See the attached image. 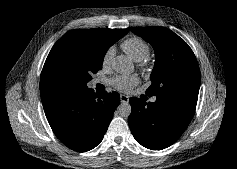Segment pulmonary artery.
Returning <instances> with one entry per match:
<instances>
[{
	"instance_id": "pulmonary-artery-1",
	"label": "pulmonary artery",
	"mask_w": 237,
	"mask_h": 169,
	"mask_svg": "<svg viewBox=\"0 0 237 169\" xmlns=\"http://www.w3.org/2000/svg\"><path fill=\"white\" fill-rule=\"evenodd\" d=\"M155 100H156L155 98H152V99H151V102H155Z\"/></svg>"
}]
</instances>
